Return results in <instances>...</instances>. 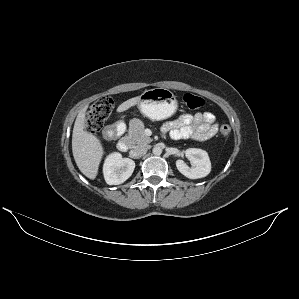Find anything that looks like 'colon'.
I'll return each mask as SVG.
<instances>
[{"mask_svg": "<svg viewBox=\"0 0 299 299\" xmlns=\"http://www.w3.org/2000/svg\"><path fill=\"white\" fill-rule=\"evenodd\" d=\"M183 104L190 110H197L204 106L205 101L200 96L192 93H185L182 96ZM114 108V101L110 96H103L93 103L86 115V130L90 134H97L103 128L105 121L109 118ZM231 128L222 125L220 133L228 136Z\"/></svg>", "mask_w": 299, "mask_h": 299, "instance_id": "colon-1", "label": "colon"}]
</instances>
